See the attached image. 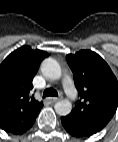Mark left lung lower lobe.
<instances>
[{"mask_svg": "<svg viewBox=\"0 0 118 142\" xmlns=\"http://www.w3.org/2000/svg\"><path fill=\"white\" fill-rule=\"evenodd\" d=\"M61 122L65 130L72 136L85 137L94 134L84 125L70 116L61 117Z\"/></svg>", "mask_w": 118, "mask_h": 142, "instance_id": "0a47b994", "label": "left lung lower lobe"}]
</instances>
